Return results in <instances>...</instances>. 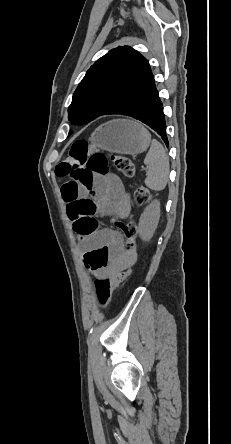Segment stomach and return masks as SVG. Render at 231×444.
I'll return each mask as SVG.
<instances>
[{
  "instance_id": "obj_1",
  "label": "stomach",
  "mask_w": 231,
  "mask_h": 444,
  "mask_svg": "<svg viewBox=\"0 0 231 444\" xmlns=\"http://www.w3.org/2000/svg\"><path fill=\"white\" fill-rule=\"evenodd\" d=\"M89 140L109 152L136 155L149 147L151 136L138 122L116 119L99 126Z\"/></svg>"
}]
</instances>
